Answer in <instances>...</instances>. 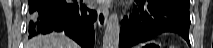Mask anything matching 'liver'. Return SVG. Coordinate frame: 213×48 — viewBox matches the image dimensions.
Segmentation results:
<instances>
[{"mask_svg": "<svg viewBox=\"0 0 213 48\" xmlns=\"http://www.w3.org/2000/svg\"><path fill=\"white\" fill-rule=\"evenodd\" d=\"M25 48H79V45L64 34L39 35L32 38Z\"/></svg>", "mask_w": 213, "mask_h": 48, "instance_id": "liver-1", "label": "liver"}]
</instances>
